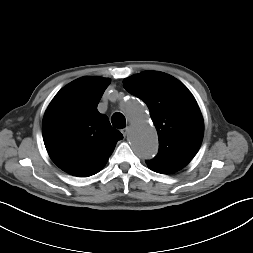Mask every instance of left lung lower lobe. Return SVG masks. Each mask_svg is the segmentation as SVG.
Listing matches in <instances>:
<instances>
[{"instance_id":"0a47b994","label":"left lung lower lobe","mask_w":253,"mask_h":253,"mask_svg":"<svg viewBox=\"0 0 253 253\" xmlns=\"http://www.w3.org/2000/svg\"><path fill=\"white\" fill-rule=\"evenodd\" d=\"M150 169L153 170V171H155V172H158V173L167 174L166 172H163V171H160V170H156V169H153V168H150Z\"/></svg>"}]
</instances>
